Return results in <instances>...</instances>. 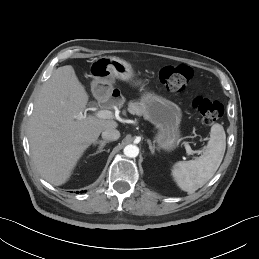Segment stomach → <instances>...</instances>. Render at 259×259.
<instances>
[{
	"instance_id": "0dacf381",
	"label": "stomach",
	"mask_w": 259,
	"mask_h": 259,
	"mask_svg": "<svg viewBox=\"0 0 259 259\" xmlns=\"http://www.w3.org/2000/svg\"><path fill=\"white\" fill-rule=\"evenodd\" d=\"M90 73L93 77L92 90L94 93L109 94L115 79H120L145 90L144 83L135 79L131 64L118 57L95 59L91 64ZM139 105L145 119L158 129L155 136V142L158 146L167 151L175 149L182 138L180 130L181 108L174 102L148 90L143 92Z\"/></svg>"
}]
</instances>
